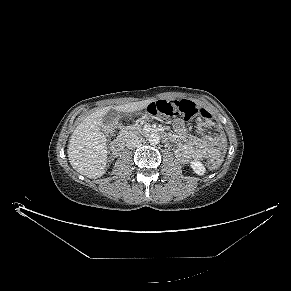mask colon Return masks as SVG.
I'll use <instances>...</instances> for the list:
<instances>
[{"instance_id": "1", "label": "colon", "mask_w": 291, "mask_h": 291, "mask_svg": "<svg viewBox=\"0 0 291 291\" xmlns=\"http://www.w3.org/2000/svg\"><path fill=\"white\" fill-rule=\"evenodd\" d=\"M146 112L154 116L180 115L185 119L197 117L199 120L203 121L206 126L211 127L213 122L211 114L206 109L189 100H161L152 102L146 107ZM121 126V122H117L115 125L116 128H120ZM220 165V160H211L208 163L211 169H216Z\"/></svg>"}]
</instances>
